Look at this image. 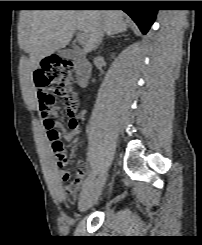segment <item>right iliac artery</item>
Listing matches in <instances>:
<instances>
[{"label":"right iliac artery","instance_id":"82829eb1","mask_svg":"<svg viewBox=\"0 0 202 245\" xmlns=\"http://www.w3.org/2000/svg\"><path fill=\"white\" fill-rule=\"evenodd\" d=\"M94 179H95V175L94 174H91L90 176H88L86 178V180L84 181V184L82 186V191L86 190L90 185H92Z\"/></svg>","mask_w":202,"mask_h":245}]
</instances>
